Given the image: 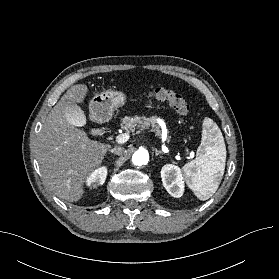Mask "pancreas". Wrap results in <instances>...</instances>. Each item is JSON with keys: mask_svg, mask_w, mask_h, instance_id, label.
Returning <instances> with one entry per match:
<instances>
[{"mask_svg": "<svg viewBox=\"0 0 279 279\" xmlns=\"http://www.w3.org/2000/svg\"><path fill=\"white\" fill-rule=\"evenodd\" d=\"M157 118L155 116L145 117V116H134V117H124L121 120V128L127 132H134L137 128H149L151 127L154 131L159 133L160 126L157 123Z\"/></svg>", "mask_w": 279, "mask_h": 279, "instance_id": "1", "label": "pancreas"}]
</instances>
